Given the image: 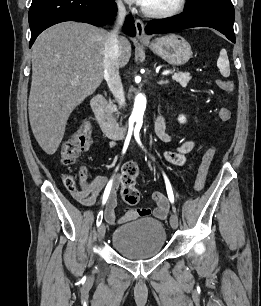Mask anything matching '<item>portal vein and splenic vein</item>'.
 I'll list each match as a JSON object with an SVG mask.
<instances>
[{
	"mask_svg": "<svg viewBox=\"0 0 261 306\" xmlns=\"http://www.w3.org/2000/svg\"><path fill=\"white\" fill-rule=\"evenodd\" d=\"M172 73H173V71L167 70V71H164V72L162 73V75H169V74H172Z\"/></svg>",
	"mask_w": 261,
	"mask_h": 306,
	"instance_id": "1",
	"label": "portal vein and splenic vein"
}]
</instances>
